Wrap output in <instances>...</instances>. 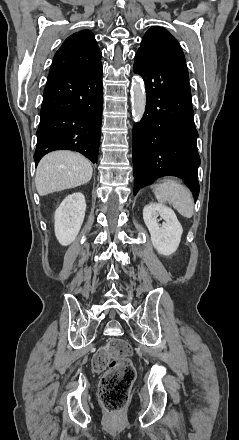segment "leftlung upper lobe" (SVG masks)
I'll list each match as a JSON object with an SVG mask.
<instances>
[{"label": "left lung upper lobe", "instance_id": "1", "mask_svg": "<svg viewBox=\"0 0 239 440\" xmlns=\"http://www.w3.org/2000/svg\"><path fill=\"white\" fill-rule=\"evenodd\" d=\"M137 52L155 58L185 61L177 40L161 27H151L146 32Z\"/></svg>", "mask_w": 239, "mask_h": 440}]
</instances>
